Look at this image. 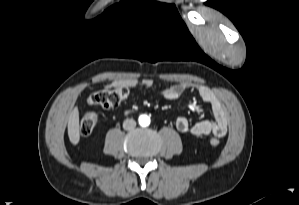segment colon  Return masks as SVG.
Listing matches in <instances>:
<instances>
[{
  "instance_id": "5ec220e1",
  "label": "colon",
  "mask_w": 299,
  "mask_h": 205,
  "mask_svg": "<svg viewBox=\"0 0 299 205\" xmlns=\"http://www.w3.org/2000/svg\"><path fill=\"white\" fill-rule=\"evenodd\" d=\"M129 88L126 84H120L116 87H107L94 92L88 98L90 106L111 108L121 104L128 96ZM98 122V116L94 111H85L80 119V133L84 136L89 135ZM220 143L219 139L212 137L210 144L214 147Z\"/></svg>"
}]
</instances>
